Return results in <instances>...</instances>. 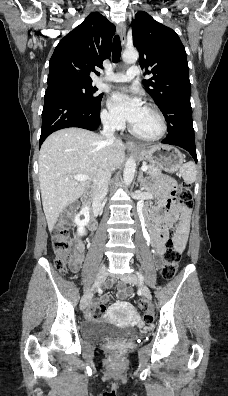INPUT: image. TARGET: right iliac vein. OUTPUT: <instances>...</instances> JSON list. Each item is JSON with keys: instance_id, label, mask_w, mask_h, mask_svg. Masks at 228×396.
<instances>
[{"instance_id": "63e3f726", "label": "right iliac vein", "mask_w": 228, "mask_h": 396, "mask_svg": "<svg viewBox=\"0 0 228 396\" xmlns=\"http://www.w3.org/2000/svg\"><path fill=\"white\" fill-rule=\"evenodd\" d=\"M106 276H107V267H106V266H103V267L99 270V272H98V274H97L95 286H94L92 289L88 290V291L83 295V297H82V299H81V301H80V309H81V310H84V309L86 308V306L89 304L90 300H91L92 297H93V293H94L95 287H96L100 282H102V281L106 278Z\"/></svg>"}]
</instances>
